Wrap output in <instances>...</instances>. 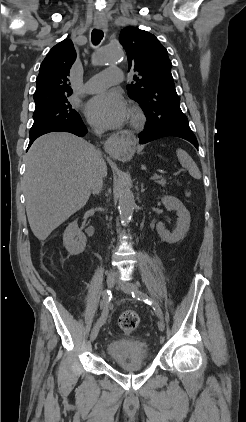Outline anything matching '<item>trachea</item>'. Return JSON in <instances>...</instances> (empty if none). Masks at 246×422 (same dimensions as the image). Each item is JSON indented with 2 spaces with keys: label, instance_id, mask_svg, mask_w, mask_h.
<instances>
[{
  "label": "trachea",
  "instance_id": "obj_1",
  "mask_svg": "<svg viewBox=\"0 0 246 422\" xmlns=\"http://www.w3.org/2000/svg\"><path fill=\"white\" fill-rule=\"evenodd\" d=\"M104 33L101 30L94 29L91 34L92 43L98 45L103 39Z\"/></svg>",
  "mask_w": 246,
  "mask_h": 422
}]
</instances>
